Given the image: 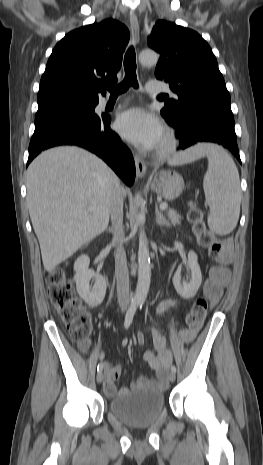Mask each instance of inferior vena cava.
<instances>
[{"label": "inferior vena cava", "mask_w": 263, "mask_h": 465, "mask_svg": "<svg viewBox=\"0 0 263 465\" xmlns=\"http://www.w3.org/2000/svg\"><path fill=\"white\" fill-rule=\"evenodd\" d=\"M110 215L113 226L112 244L116 247L115 274L117 279L118 302L122 309H126L129 305V274L126 253L123 248V189L121 187L118 188L113 195Z\"/></svg>", "instance_id": "602c4592"}]
</instances>
